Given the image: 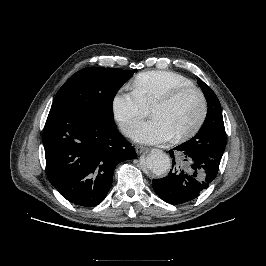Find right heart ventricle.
Listing matches in <instances>:
<instances>
[{
	"instance_id": "obj_1",
	"label": "right heart ventricle",
	"mask_w": 266,
	"mask_h": 266,
	"mask_svg": "<svg viewBox=\"0 0 266 266\" xmlns=\"http://www.w3.org/2000/svg\"><path fill=\"white\" fill-rule=\"evenodd\" d=\"M192 85L184 76L165 70H152L138 74L131 83V88L138 94L147 107L171 90Z\"/></svg>"
}]
</instances>
